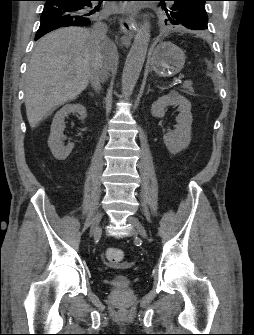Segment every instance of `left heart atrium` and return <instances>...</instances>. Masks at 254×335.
<instances>
[{
	"label": "left heart atrium",
	"instance_id": "1",
	"mask_svg": "<svg viewBox=\"0 0 254 335\" xmlns=\"http://www.w3.org/2000/svg\"><path fill=\"white\" fill-rule=\"evenodd\" d=\"M122 11L125 13H134L136 11L135 5L128 4L122 8Z\"/></svg>",
	"mask_w": 254,
	"mask_h": 335
}]
</instances>
